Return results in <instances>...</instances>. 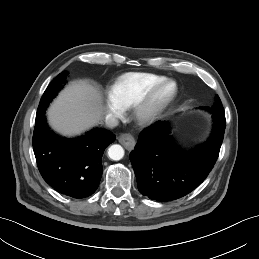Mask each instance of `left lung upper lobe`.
<instances>
[{"label":"left lung upper lobe","instance_id":"1","mask_svg":"<svg viewBox=\"0 0 259 259\" xmlns=\"http://www.w3.org/2000/svg\"><path fill=\"white\" fill-rule=\"evenodd\" d=\"M205 109L209 110L212 114H224V109L221 103V100L218 96H216V103L213 107H205Z\"/></svg>","mask_w":259,"mask_h":259}]
</instances>
